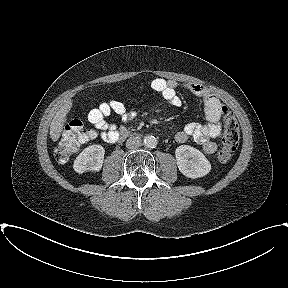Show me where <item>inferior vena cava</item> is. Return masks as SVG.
Masks as SVG:
<instances>
[{
    "mask_svg": "<svg viewBox=\"0 0 288 288\" xmlns=\"http://www.w3.org/2000/svg\"><path fill=\"white\" fill-rule=\"evenodd\" d=\"M141 145V138L140 137H130L126 141V147L128 149H136Z\"/></svg>",
    "mask_w": 288,
    "mask_h": 288,
    "instance_id": "inferior-vena-cava-1",
    "label": "inferior vena cava"
}]
</instances>
